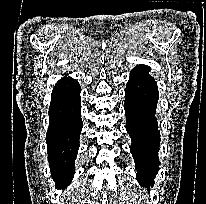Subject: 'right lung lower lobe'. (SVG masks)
<instances>
[{
  "label": "right lung lower lobe",
  "instance_id": "98d812e1",
  "mask_svg": "<svg viewBox=\"0 0 206 204\" xmlns=\"http://www.w3.org/2000/svg\"><path fill=\"white\" fill-rule=\"evenodd\" d=\"M80 92L78 81L67 76L52 91L46 141L50 171L58 189L68 185L74 175L83 127Z\"/></svg>",
  "mask_w": 206,
  "mask_h": 204
}]
</instances>
